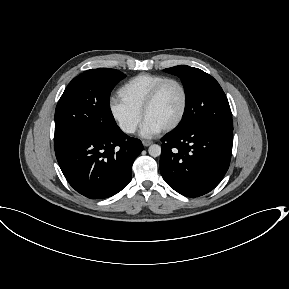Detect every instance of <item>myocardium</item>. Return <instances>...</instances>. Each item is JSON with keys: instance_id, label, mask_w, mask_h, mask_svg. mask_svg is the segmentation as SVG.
<instances>
[{"instance_id": "myocardium-1", "label": "myocardium", "mask_w": 289, "mask_h": 289, "mask_svg": "<svg viewBox=\"0 0 289 289\" xmlns=\"http://www.w3.org/2000/svg\"><path fill=\"white\" fill-rule=\"evenodd\" d=\"M168 83H174L180 88V90L182 92L183 102H182V108H181V111H180L178 117L172 123H170L166 127L162 128L163 131L174 130L182 123V121L185 118V115H186L187 109H188V104H189V95H188L187 88L185 87L183 82H181L180 80H178L176 78L163 79L158 84H156L152 88V90L149 92L148 96L146 97V99L142 105V109H141V115L145 119L147 111L154 104L155 100L157 99V97H158L159 93L161 92V90L163 89V87L165 85H167Z\"/></svg>"}]
</instances>
